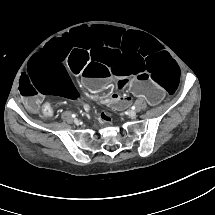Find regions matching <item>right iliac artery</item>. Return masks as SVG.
I'll return each mask as SVG.
<instances>
[{
  "label": "right iliac artery",
  "mask_w": 215,
  "mask_h": 215,
  "mask_svg": "<svg viewBox=\"0 0 215 215\" xmlns=\"http://www.w3.org/2000/svg\"><path fill=\"white\" fill-rule=\"evenodd\" d=\"M71 116H72L73 118H75V117H76V115H75V114H72Z\"/></svg>",
  "instance_id": "82829eb1"
}]
</instances>
